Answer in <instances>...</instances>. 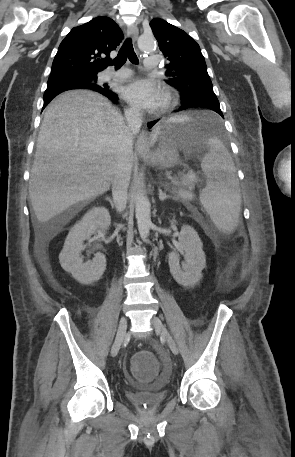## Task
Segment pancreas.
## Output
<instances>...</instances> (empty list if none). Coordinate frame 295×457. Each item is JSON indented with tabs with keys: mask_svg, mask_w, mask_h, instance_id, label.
<instances>
[{
	"mask_svg": "<svg viewBox=\"0 0 295 457\" xmlns=\"http://www.w3.org/2000/svg\"><path fill=\"white\" fill-rule=\"evenodd\" d=\"M194 182L184 180L182 186L175 188L174 192L182 198L183 202H187L193 199L192 190L194 189Z\"/></svg>",
	"mask_w": 295,
	"mask_h": 457,
	"instance_id": "pancreas-1",
	"label": "pancreas"
}]
</instances>
